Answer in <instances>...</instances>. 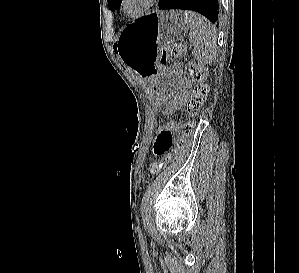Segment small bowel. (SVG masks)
Masks as SVG:
<instances>
[{"mask_svg": "<svg viewBox=\"0 0 299 273\" xmlns=\"http://www.w3.org/2000/svg\"><path fill=\"white\" fill-rule=\"evenodd\" d=\"M178 129V124L170 123L159 131L153 148L156 155H163L172 147Z\"/></svg>", "mask_w": 299, "mask_h": 273, "instance_id": "1", "label": "small bowel"}]
</instances>
